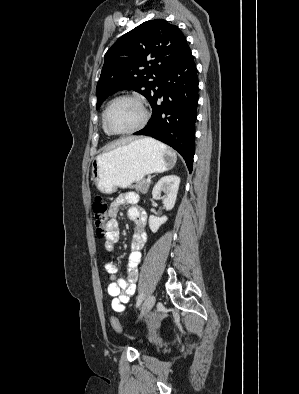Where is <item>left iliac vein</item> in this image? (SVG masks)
I'll return each instance as SVG.
<instances>
[{
	"label": "left iliac vein",
	"instance_id": "left-iliac-vein-1",
	"mask_svg": "<svg viewBox=\"0 0 299 394\" xmlns=\"http://www.w3.org/2000/svg\"><path fill=\"white\" fill-rule=\"evenodd\" d=\"M155 301H156V299H155V296H153V295H149L146 298L145 302L142 305L139 318H142L143 316L147 315L151 311V309L153 308V306L155 304Z\"/></svg>",
	"mask_w": 299,
	"mask_h": 394
}]
</instances>
